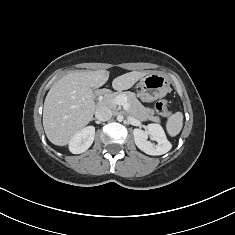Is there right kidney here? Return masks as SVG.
<instances>
[{
    "instance_id": "1",
    "label": "right kidney",
    "mask_w": 235,
    "mask_h": 235,
    "mask_svg": "<svg viewBox=\"0 0 235 235\" xmlns=\"http://www.w3.org/2000/svg\"><path fill=\"white\" fill-rule=\"evenodd\" d=\"M95 136V128L88 126L77 132L69 142V150L73 154L85 152L92 145Z\"/></svg>"
}]
</instances>
